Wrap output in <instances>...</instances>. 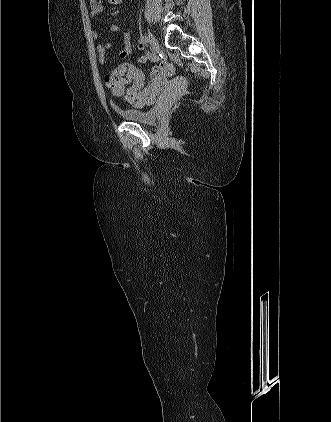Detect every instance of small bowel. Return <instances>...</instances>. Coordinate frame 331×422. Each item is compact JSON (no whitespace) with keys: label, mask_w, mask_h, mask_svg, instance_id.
<instances>
[{"label":"small bowel","mask_w":331,"mask_h":422,"mask_svg":"<svg viewBox=\"0 0 331 422\" xmlns=\"http://www.w3.org/2000/svg\"><path fill=\"white\" fill-rule=\"evenodd\" d=\"M123 2V0H90V16L93 18L100 13H102L106 7V5H120ZM110 32H121L124 36V42L125 47L123 50L120 51L119 56L122 59L127 58L130 56L133 52L132 48V39L131 34L126 29H123L122 27L118 25H112L109 28ZM91 36L93 39L97 40L99 38V32L96 30H93L91 32ZM111 48V43L109 41H106L105 43H99L96 45V51L98 54V60L99 63L104 65L106 63V52ZM138 49L142 51V53L138 57L139 63H145L150 58V52L146 50V44L143 41H140L138 43ZM105 83L108 88H110V78L109 75L105 76ZM165 80L164 79H158L154 76L152 73V77L150 82L145 85L143 77L133 83V87L137 92L144 96L149 98L150 102H154L156 97L164 90L165 87ZM132 104L134 105H145L142 103H139L137 101H134L132 99H128ZM147 103V104H149Z\"/></svg>","instance_id":"obj_1"}]
</instances>
